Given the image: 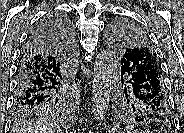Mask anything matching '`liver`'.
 <instances>
[{
    "mask_svg": "<svg viewBox=\"0 0 184 133\" xmlns=\"http://www.w3.org/2000/svg\"><path fill=\"white\" fill-rule=\"evenodd\" d=\"M22 133H62V129L54 122L45 118H36L23 123L14 132Z\"/></svg>",
    "mask_w": 184,
    "mask_h": 133,
    "instance_id": "6515ba94",
    "label": "liver"
}]
</instances>
